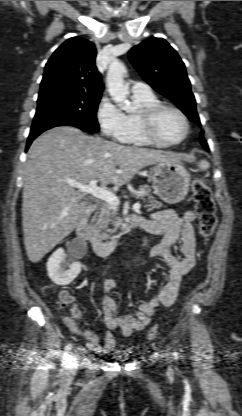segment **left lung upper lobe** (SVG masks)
I'll return each instance as SVG.
<instances>
[{
    "label": "left lung upper lobe",
    "mask_w": 242,
    "mask_h": 416,
    "mask_svg": "<svg viewBox=\"0 0 242 416\" xmlns=\"http://www.w3.org/2000/svg\"><path fill=\"white\" fill-rule=\"evenodd\" d=\"M129 60L149 85L200 125L185 65L166 40L155 37L145 40L129 51ZM203 140L201 136L200 142Z\"/></svg>",
    "instance_id": "obj_1"
}]
</instances>
